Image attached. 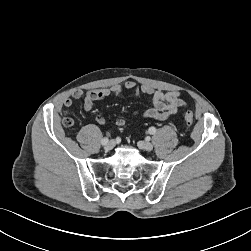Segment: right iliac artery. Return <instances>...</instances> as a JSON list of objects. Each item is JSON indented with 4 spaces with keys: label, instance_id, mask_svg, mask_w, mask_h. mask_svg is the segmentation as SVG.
<instances>
[{
    "label": "right iliac artery",
    "instance_id": "obj_1",
    "mask_svg": "<svg viewBox=\"0 0 251 251\" xmlns=\"http://www.w3.org/2000/svg\"><path fill=\"white\" fill-rule=\"evenodd\" d=\"M108 141H109V139H108L107 137H105V138H103V139L101 140V144H102V145H106V144L108 143Z\"/></svg>",
    "mask_w": 251,
    "mask_h": 251
}]
</instances>
